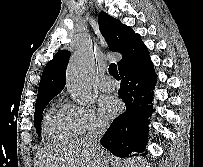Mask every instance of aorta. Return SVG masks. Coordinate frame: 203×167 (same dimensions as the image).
I'll return each instance as SVG.
<instances>
[{"instance_id":"obj_1","label":"aorta","mask_w":203,"mask_h":167,"mask_svg":"<svg viewBox=\"0 0 203 167\" xmlns=\"http://www.w3.org/2000/svg\"><path fill=\"white\" fill-rule=\"evenodd\" d=\"M94 64V55L87 48L77 51L69 62L66 76L67 90L80 104H85L91 99Z\"/></svg>"}]
</instances>
